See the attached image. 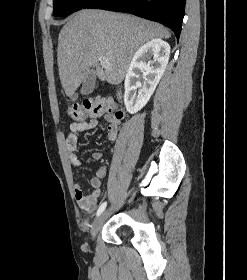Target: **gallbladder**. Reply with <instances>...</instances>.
I'll return each instance as SVG.
<instances>
[{
  "mask_svg": "<svg viewBox=\"0 0 247 280\" xmlns=\"http://www.w3.org/2000/svg\"><path fill=\"white\" fill-rule=\"evenodd\" d=\"M95 80H96L95 71L92 70L88 73L86 79L83 81L80 93L82 95H88L92 93L95 88ZM71 99L75 100L76 95H73Z\"/></svg>",
  "mask_w": 247,
  "mask_h": 280,
  "instance_id": "obj_1",
  "label": "gallbladder"
}]
</instances>
